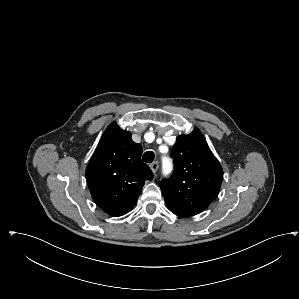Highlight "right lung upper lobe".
Masks as SVG:
<instances>
[{
    "instance_id": "obj_1",
    "label": "right lung upper lobe",
    "mask_w": 299,
    "mask_h": 299,
    "mask_svg": "<svg viewBox=\"0 0 299 299\" xmlns=\"http://www.w3.org/2000/svg\"><path fill=\"white\" fill-rule=\"evenodd\" d=\"M142 147L131 133L111 123L86 169V180L95 203L107 214H126L136 203L151 169L141 161Z\"/></svg>"
}]
</instances>
